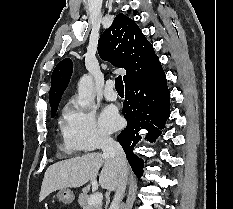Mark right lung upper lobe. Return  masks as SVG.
Segmentation results:
<instances>
[{"label":"right lung upper lobe","mask_w":233,"mask_h":209,"mask_svg":"<svg viewBox=\"0 0 233 209\" xmlns=\"http://www.w3.org/2000/svg\"><path fill=\"white\" fill-rule=\"evenodd\" d=\"M98 54L104 61L126 70L123 76L126 87L147 77L161 64L137 24L122 13L116 15L112 25L100 36ZM72 72L73 64L69 58L55 67L49 93L51 111L58 108Z\"/></svg>","instance_id":"right-lung-upper-lobe-1"}]
</instances>
